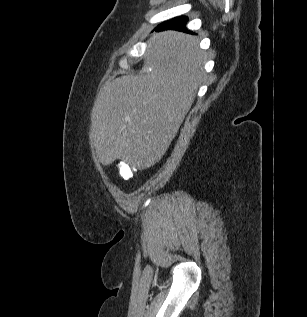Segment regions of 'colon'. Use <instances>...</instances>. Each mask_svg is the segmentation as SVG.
<instances>
[{
    "instance_id": "1",
    "label": "colon",
    "mask_w": 307,
    "mask_h": 317,
    "mask_svg": "<svg viewBox=\"0 0 307 317\" xmlns=\"http://www.w3.org/2000/svg\"><path fill=\"white\" fill-rule=\"evenodd\" d=\"M119 173L122 178L129 179L134 173V169L130 167L128 164L120 162L118 164Z\"/></svg>"
}]
</instances>
